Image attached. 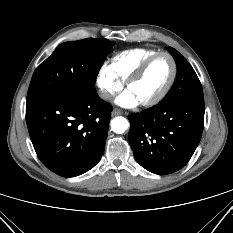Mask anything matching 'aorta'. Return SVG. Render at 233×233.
<instances>
[{
    "label": "aorta",
    "instance_id": "obj_1",
    "mask_svg": "<svg viewBox=\"0 0 233 233\" xmlns=\"http://www.w3.org/2000/svg\"><path fill=\"white\" fill-rule=\"evenodd\" d=\"M128 127H129V122L124 117L121 116L115 117L111 121V128L117 134L124 133L128 129Z\"/></svg>",
    "mask_w": 233,
    "mask_h": 233
}]
</instances>
